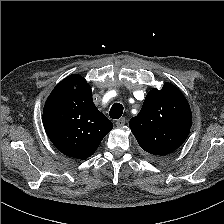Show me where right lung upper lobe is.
I'll use <instances>...</instances> for the list:
<instances>
[{
  "mask_svg": "<svg viewBox=\"0 0 224 224\" xmlns=\"http://www.w3.org/2000/svg\"><path fill=\"white\" fill-rule=\"evenodd\" d=\"M43 125L54 146L77 159L90 157L113 128L94 105L90 85L78 74L55 86L43 109Z\"/></svg>",
  "mask_w": 224,
  "mask_h": 224,
  "instance_id": "cb5924a9",
  "label": "right lung upper lobe"
}]
</instances>
